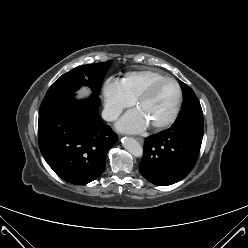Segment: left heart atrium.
<instances>
[{
	"instance_id": "left-heart-atrium-1",
	"label": "left heart atrium",
	"mask_w": 248,
	"mask_h": 248,
	"mask_svg": "<svg viewBox=\"0 0 248 248\" xmlns=\"http://www.w3.org/2000/svg\"><path fill=\"white\" fill-rule=\"evenodd\" d=\"M148 123L140 109H132L119 120L116 127L123 132L140 133L146 129Z\"/></svg>"
}]
</instances>
